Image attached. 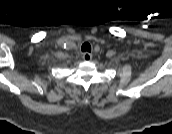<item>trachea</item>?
I'll return each mask as SVG.
<instances>
[{"label":"trachea","instance_id":"3493384b","mask_svg":"<svg viewBox=\"0 0 172 134\" xmlns=\"http://www.w3.org/2000/svg\"><path fill=\"white\" fill-rule=\"evenodd\" d=\"M81 50H82L83 52H84V51L91 52V45H90L88 42H86V43H84V44L82 45Z\"/></svg>","mask_w":172,"mask_h":134}]
</instances>
